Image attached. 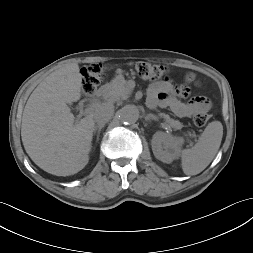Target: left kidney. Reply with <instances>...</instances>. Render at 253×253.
<instances>
[{"mask_svg":"<svg viewBox=\"0 0 253 253\" xmlns=\"http://www.w3.org/2000/svg\"><path fill=\"white\" fill-rule=\"evenodd\" d=\"M182 141L181 138L164 132H156L152 138L153 154L158 160L169 164L178 156L179 146Z\"/></svg>","mask_w":253,"mask_h":253,"instance_id":"5707ae66","label":"left kidney"}]
</instances>
